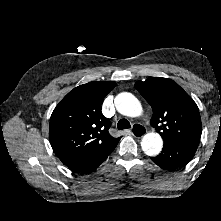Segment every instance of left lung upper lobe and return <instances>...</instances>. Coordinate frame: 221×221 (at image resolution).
Masks as SVG:
<instances>
[{
	"mask_svg": "<svg viewBox=\"0 0 221 221\" xmlns=\"http://www.w3.org/2000/svg\"><path fill=\"white\" fill-rule=\"evenodd\" d=\"M135 88L153 110L151 125L164 144L200 140L202 125L194 100L173 80L150 77L135 83Z\"/></svg>",
	"mask_w": 221,
	"mask_h": 221,
	"instance_id": "1",
	"label": "left lung upper lobe"
}]
</instances>
